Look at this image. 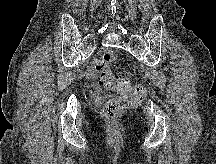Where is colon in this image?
<instances>
[{"mask_svg": "<svg viewBox=\"0 0 216 164\" xmlns=\"http://www.w3.org/2000/svg\"><path fill=\"white\" fill-rule=\"evenodd\" d=\"M115 61L116 55L109 52L104 54L96 65L102 85L118 96L109 100L104 107V114L111 121L117 119L121 112L139 102L144 96V88L135 84L130 75L116 76L109 70V66Z\"/></svg>", "mask_w": 216, "mask_h": 164, "instance_id": "5ec220e1", "label": "colon"}]
</instances>
